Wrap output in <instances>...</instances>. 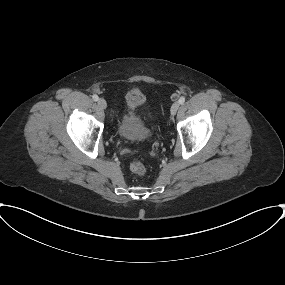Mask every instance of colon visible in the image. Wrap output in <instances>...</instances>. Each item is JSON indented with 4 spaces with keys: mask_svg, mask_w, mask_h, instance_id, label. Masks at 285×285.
<instances>
[{
    "mask_svg": "<svg viewBox=\"0 0 285 285\" xmlns=\"http://www.w3.org/2000/svg\"><path fill=\"white\" fill-rule=\"evenodd\" d=\"M130 170L136 174V175H139V176H142L145 174L146 172V168L145 166L143 165V163H141L140 161H133L131 162L130 164Z\"/></svg>",
    "mask_w": 285,
    "mask_h": 285,
    "instance_id": "colon-1",
    "label": "colon"
}]
</instances>
